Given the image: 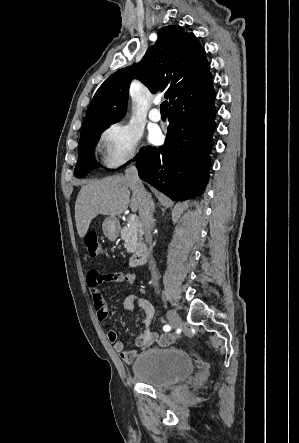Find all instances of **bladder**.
Instances as JSON below:
<instances>
[{
  "label": "bladder",
  "instance_id": "1",
  "mask_svg": "<svg viewBox=\"0 0 299 443\" xmlns=\"http://www.w3.org/2000/svg\"><path fill=\"white\" fill-rule=\"evenodd\" d=\"M193 369L190 355L177 347H153L132 362L135 378L153 387L174 385L187 378Z\"/></svg>",
  "mask_w": 299,
  "mask_h": 443
}]
</instances>
